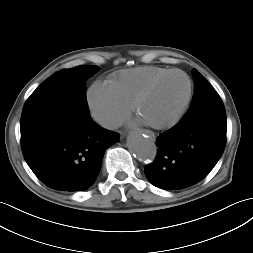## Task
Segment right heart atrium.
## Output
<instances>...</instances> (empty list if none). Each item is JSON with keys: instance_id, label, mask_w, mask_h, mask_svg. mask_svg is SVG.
<instances>
[{"instance_id": "obj_1", "label": "right heart atrium", "mask_w": 253, "mask_h": 253, "mask_svg": "<svg viewBox=\"0 0 253 253\" xmlns=\"http://www.w3.org/2000/svg\"><path fill=\"white\" fill-rule=\"evenodd\" d=\"M87 104L92 116L107 128L118 126L130 113V106L109 83L102 81H95L88 89Z\"/></svg>"}]
</instances>
